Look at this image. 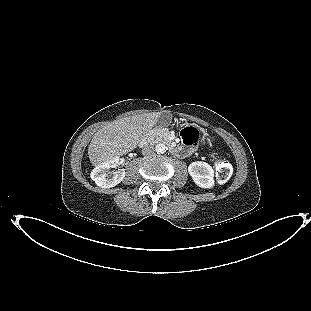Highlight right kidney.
Listing matches in <instances>:
<instances>
[{
    "mask_svg": "<svg viewBox=\"0 0 311 311\" xmlns=\"http://www.w3.org/2000/svg\"><path fill=\"white\" fill-rule=\"evenodd\" d=\"M119 158H114L102 163L91 172V179L95 181L96 185L102 188H111L119 184L125 177V169H118L112 173L111 168L116 166Z\"/></svg>",
    "mask_w": 311,
    "mask_h": 311,
    "instance_id": "ca27d5eb",
    "label": "right kidney"
}]
</instances>
